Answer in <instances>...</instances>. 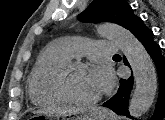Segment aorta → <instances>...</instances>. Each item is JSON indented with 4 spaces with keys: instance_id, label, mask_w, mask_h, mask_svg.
I'll return each mask as SVG.
<instances>
[{
    "instance_id": "aorta-1",
    "label": "aorta",
    "mask_w": 165,
    "mask_h": 120,
    "mask_svg": "<svg viewBox=\"0 0 165 120\" xmlns=\"http://www.w3.org/2000/svg\"><path fill=\"white\" fill-rule=\"evenodd\" d=\"M98 33L120 47L132 68L136 88L129 103V113L139 118L150 108L156 94L157 79L153 62L143 45L122 26L104 23L98 26Z\"/></svg>"
}]
</instances>
